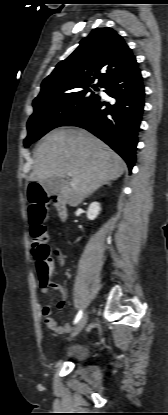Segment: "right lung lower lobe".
Here are the masks:
<instances>
[{
    "mask_svg": "<svg viewBox=\"0 0 168 415\" xmlns=\"http://www.w3.org/2000/svg\"><path fill=\"white\" fill-rule=\"evenodd\" d=\"M104 88L115 99L114 104L99 98L93 106L64 126H77L93 133L115 150L131 171L135 165L145 95L138 64L111 79Z\"/></svg>",
    "mask_w": 168,
    "mask_h": 415,
    "instance_id": "1",
    "label": "right lung lower lobe"
}]
</instances>
